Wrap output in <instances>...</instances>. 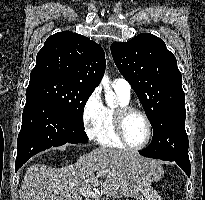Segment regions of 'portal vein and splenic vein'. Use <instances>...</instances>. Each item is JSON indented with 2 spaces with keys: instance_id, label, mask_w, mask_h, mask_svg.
Masks as SVG:
<instances>
[{
  "instance_id": "18ae733b",
  "label": "portal vein and splenic vein",
  "mask_w": 205,
  "mask_h": 200,
  "mask_svg": "<svg viewBox=\"0 0 205 200\" xmlns=\"http://www.w3.org/2000/svg\"><path fill=\"white\" fill-rule=\"evenodd\" d=\"M107 172H108L107 169L100 171L97 173V177H100V176L106 174ZM81 194L84 195L85 197H92L95 200H99L98 195L90 187L82 188Z\"/></svg>"
}]
</instances>
